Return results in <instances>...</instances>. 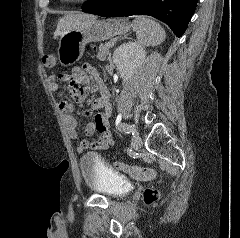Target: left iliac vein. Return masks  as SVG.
I'll return each mask as SVG.
<instances>
[{
  "label": "left iliac vein",
  "instance_id": "1",
  "mask_svg": "<svg viewBox=\"0 0 240 238\" xmlns=\"http://www.w3.org/2000/svg\"><path fill=\"white\" fill-rule=\"evenodd\" d=\"M131 144H132V147L136 150L141 148V146H142V139H141V137L139 135V132L137 130L133 131Z\"/></svg>",
  "mask_w": 240,
  "mask_h": 238
}]
</instances>
